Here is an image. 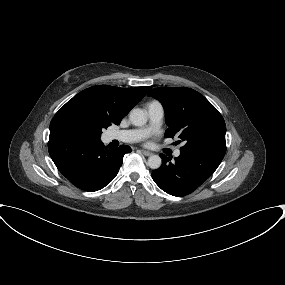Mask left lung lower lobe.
Instances as JSON below:
<instances>
[{
	"label": "left lung lower lobe",
	"mask_w": 285,
	"mask_h": 285,
	"mask_svg": "<svg viewBox=\"0 0 285 285\" xmlns=\"http://www.w3.org/2000/svg\"><path fill=\"white\" fill-rule=\"evenodd\" d=\"M162 165L152 173L155 183L166 193L185 196L196 190L217 169L222 159L197 152L181 151L171 162V157L160 154Z\"/></svg>",
	"instance_id": "obj_1"
}]
</instances>
